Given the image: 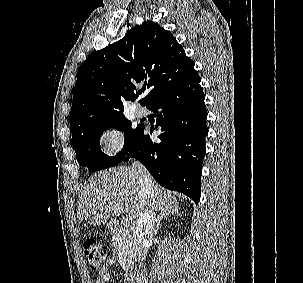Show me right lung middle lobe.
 Listing matches in <instances>:
<instances>
[{"instance_id": "dd1d6c3e", "label": "right lung middle lobe", "mask_w": 303, "mask_h": 283, "mask_svg": "<svg viewBox=\"0 0 303 283\" xmlns=\"http://www.w3.org/2000/svg\"><path fill=\"white\" fill-rule=\"evenodd\" d=\"M143 125L131 128V121L125 116L106 121L92 122L80 127L72 134V145L79 165L87 167L90 172L99 171L119 164L133 146ZM108 128L125 131L124 147L115 157H109L101 151L100 136Z\"/></svg>"}]
</instances>
